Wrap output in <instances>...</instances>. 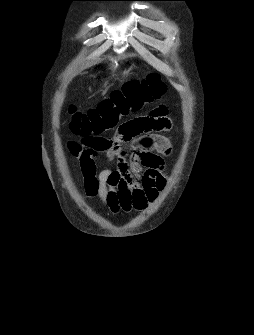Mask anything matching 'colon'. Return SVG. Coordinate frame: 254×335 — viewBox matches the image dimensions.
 Masks as SVG:
<instances>
[{
  "label": "colon",
  "mask_w": 254,
  "mask_h": 335,
  "mask_svg": "<svg viewBox=\"0 0 254 335\" xmlns=\"http://www.w3.org/2000/svg\"><path fill=\"white\" fill-rule=\"evenodd\" d=\"M165 91L166 85L160 75L150 73L143 80L129 81L122 89L113 91L94 109L83 112L70 107V126L84 147L104 151L110 145L103 136L106 132L116 130L123 118L140 112Z\"/></svg>",
  "instance_id": "5ec220e1"
}]
</instances>
